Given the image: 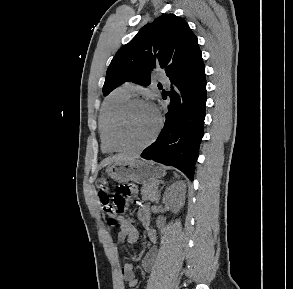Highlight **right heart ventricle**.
Listing matches in <instances>:
<instances>
[{
	"label": "right heart ventricle",
	"mask_w": 293,
	"mask_h": 289,
	"mask_svg": "<svg viewBox=\"0 0 293 289\" xmlns=\"http://www.w3.org/2000/svg\"><path fill=\"white\" fill-rule=\"evenodd\" d=\"M129 99L130 92H128L124 87H120L114 90L103 104L99 115L98 132L101 148L105 153L115 152L108 140L110 124L118 109Z\"/></svg>",
	"instance_id": "e07e8e85"
}]
</instances>
